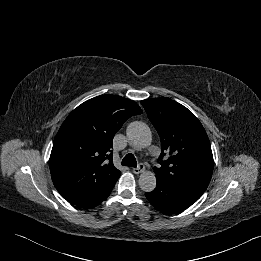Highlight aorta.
<instances>
[{"mask_svg":"<svg viewBox=\"0 0 261 261\" xmlns=\"http://www.w3.org/2000/svg\"><path fill=\"white\" fill-rule=\"evenodd\" d=\"M130 144L136 148H145L151 144L152 134L149 127L142 122H132L127 128ZM139 186L145 192H151L156 187V177L151 171H143L139 177Z\"/></svg>","mask_w":261,"mask_h":261,"instance_id":"obj_1","label":"aorta"}]
</instances>
